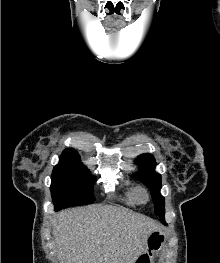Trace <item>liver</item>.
<instances>
[{
  "instance_id": "liver-1",
  "label": "liver",
  "mask_w": 220,
  "mask_h": 263,
  "mask_svg": "<svg viewBox=\"0 0 220 263\" xmlns=\"http://www.w3.org/2000/svg\"><path fill=\"white\" fill-rule=\"evenodd\" d=\"M160 225L113 205L62 210L52 220L61 263H134Z\"/></svg>"
}]
</instances>
